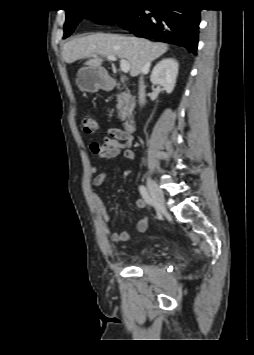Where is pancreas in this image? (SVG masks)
Wrapping results in <instances>:
<instances>
[{"instance_id": "1", "label": "pancreas", "mask_w": 254, "mask_h": 355, "mask_svg": "<svg viewBox=\"0 0 254 355\" xmlns=\"http://www.w3.org/2000/svg\"><path fill=\"white\" fill-rule=\"evenodd\" d=\"M134 105V98L128 91L122 92L120 95H118L116 108L118 110L119 119L125 120L133 110Z\"/></svg>"}]
</instances>
